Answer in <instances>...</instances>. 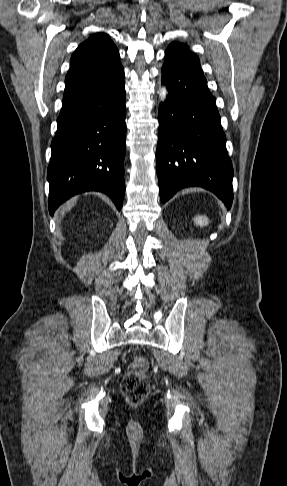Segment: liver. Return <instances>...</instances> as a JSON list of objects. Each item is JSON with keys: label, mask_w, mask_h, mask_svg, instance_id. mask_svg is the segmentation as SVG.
I'll use <instances>...</instances> for the list:
<instances>
[{"label": "liver", "mask_w": 287, "mask_h": 486, "mask_svg": "<svg viewBox=\"0 0 287 486\" xmlns=\"http://www.w3.org/2000/svg\"><path fill=\"white\" fill-rule=\"evenodd\" d=\"M77 200H78V197H74L62 206L59 221L65 215L66 212L70 211L75 206Z\"/></svg>", "instance_id": "obj_1"}]
</instances>
